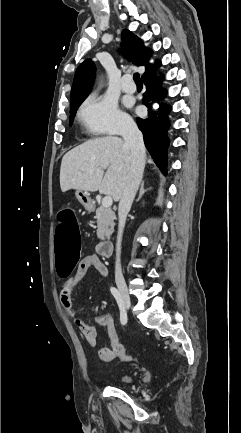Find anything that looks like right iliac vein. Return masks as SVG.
<instances>
[{
    "mask_svg": "<svg viewBox=\"0 0 241 433\" xmlns=\"http://www.w3.org/2000/svg\"><path fill=\"white\" fill-rule=\"evenodd\" d=\"M117 287H118L120 295H121L123 306H124V308H126L128 310L131 306V301H130V296H129L127 285L124 281H118Z\"/></svg>",
    "mask_w": 241,
    "mask_h": 433,
    "instance_id": "obj_1",
    "label": "right iliac vein"
}]
</instances>
